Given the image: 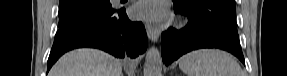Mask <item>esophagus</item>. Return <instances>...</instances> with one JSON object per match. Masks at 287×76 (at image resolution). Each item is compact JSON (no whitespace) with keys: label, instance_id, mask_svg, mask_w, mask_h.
I'll return each mask as SVG.
<instances>
[{"label":"esophagus","instance_id":"esophagus-1","mask_svg":"<svg viewBox=\"0 0 287 76\" xmlns=\"http://www.w3.org/2000/svg\"><path fill=\"white\" fill-rule=\"evenodd\" d=\"M145 28H146L148 38L153 42H157L159 39V35H160L159 29L155 26H152L149 23L145 24Z\"/></svg>","mask_w":287,"mask_h":76}]
</instances>
